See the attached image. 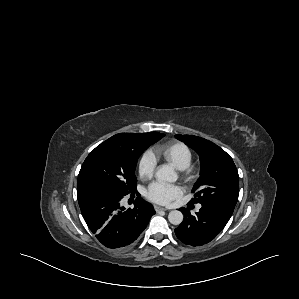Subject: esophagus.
I'll return each instance as SVG.
<instances>
[{
  "label": "esophagus",
  "instance_id": "1",
  "mask_svg": "<svg viewBox=\"0 0 299 299\" xmlns=\"http://www.w3.org/2000/svg\"><path fill=\"white\" fill-rule=\"evenodd\" d=\"M154 209L156 212L158 211H166L167 209L166 208H163V207H160V206H154Z\"/></svg>",
  "mask_w": 299,
  "mask_h": 299
}]
</instances>
